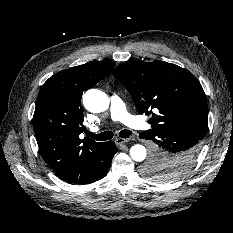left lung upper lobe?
Masks as SVG:
<instances>
[{"instance_id":"left-lung-upper-lobe-1","label":"left lung upper lobe","mask_w":233,"mask_h":233,"mask_svg":"<svg viewBox=\"0 0 233 233\" xmlns=\"http://www.w3.org/2000/svg\"><path fill=\"white\" fill-rule=\"evenodd\" d=\"M113 75L131 94L138 112L152 114L148 122L155 130L192 131L202 141L208 128L206 96L188 70L160 60L132 61L116 67ZM170 170L167 163L152 158L143 174L157 181H169L159 177L158 172Z\"/></svg>"}]
</instances>
